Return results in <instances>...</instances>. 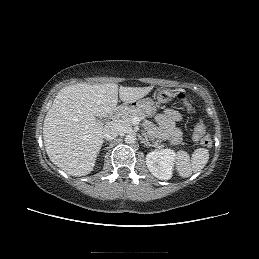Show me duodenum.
Returning <instances> with one entry per match:
<instances>
[{
	"label": "duodenum",
	"instance_id": "duodenum-1",
	"mask_svg": "<svg viewBox=\"0 0 259 259\" xmlns=\"http://www.w3.org/2000/svg\"><path fill=\"white\" fill-rule=\"evenodd\" d=\"M118 109H119V108H116V109H114V110L111 112V114H110V116H109L110 120H113V119L115 118V116H116V114H117V112H118Z\"/></svg>",
	"mask_w": 259,
	"mask_h": 259
}]
</instances>
